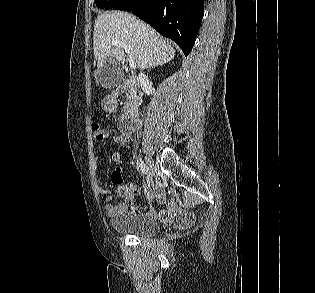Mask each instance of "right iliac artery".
<instances>
[{
	"mask_svg": "<svg viewBox=\"0 0 315 293\" xmlns=\"http://www.w3.org/2000/svg\"><path fill=\"white\" fill-rule=\"evenodd\" d=\"M139 168L143 174H147L148 169H147L146 165L144 164V162L141 160V158L139 160Z\"/></svg>",
	"mask_w": 315,
	"mask_h": 293,
	"instance_id": "82829eb1",
	"label": "right iliac artery"
}]
</instances>
